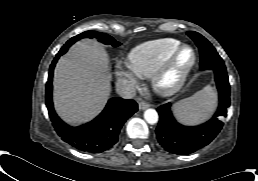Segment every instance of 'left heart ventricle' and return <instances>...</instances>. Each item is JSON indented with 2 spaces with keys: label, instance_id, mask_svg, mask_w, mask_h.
<instances>
[{
  "label": "left heart ventricle",
  "instance_id": "1",
  "mask_svg": "<svg viewBox=\"0 0 258 181\" xmlns=\"http://www.w3.org/2000/svg\"><path fill=\"white\" fill-rule=\"evenodd\" d=\"M192 58L191 51L189 49H185L179 59H178V68L183 67L184 65L188 64Z\"/></svg>",
  "mask_w": 258,
  "mask_h": 181
}]
</instances>
